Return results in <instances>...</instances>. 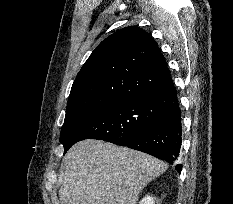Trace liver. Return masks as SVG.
Here are the masks:
<instances>
[{
    "mask_svg": "<svg viewBox=\"0 0 233 204\" xmlns=\"http://www.w3.org/2000/svg\"><path fill=\"white\" fill-rule=\"evenodd\" d=\"M167 168L127 147L82 140L65 155L60 204H136L142 189Z\"/></svg>",
    "mask_w": 233,
    "mask_h": 204,
    "instance_id": "obj_1",
    "label": "liver"
}]
</instances>
